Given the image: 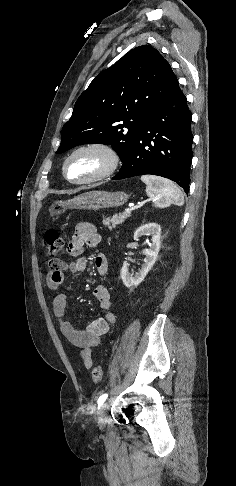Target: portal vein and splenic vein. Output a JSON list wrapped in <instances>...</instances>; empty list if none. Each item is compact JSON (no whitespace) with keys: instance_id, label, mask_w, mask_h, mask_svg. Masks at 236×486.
Listing matches in <instances>:
<instances>
[{"instance_id":"obj_1","label":"portal vein and splenic vein","mask_w":236,"mask_h":486,"mask_svg":"<svg viewBox=\"0 0 236 486\" xmlns=\"http://www.w3.org/2000/svg\"><path fill=\"white\" fill-rule=\"evenodd\" d=\"M131 211H132L131 207H128V208H126V210H125V212H126V213H131Z\"/></svg>"}]
</instances>
